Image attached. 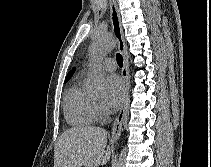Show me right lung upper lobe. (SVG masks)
Returning <instances> with one entry per match:
<instances>
[{"label": "right lung upper lobe", "instance_id": "right-lung-upper-lobe-1", "mask_svg": "<svg viewBox=\"0 0 211 167\" xmlns=\"http://www.w3.org/2000/svg\"><path fill=\"white\" fill-rule=\"evenodd\" d=\"M74 72V70L70 71L66 77V81L69 79V77L72 75V73Z\"/></svg>", "mask_w": 211, "mask_h": 167}]
</instances>
